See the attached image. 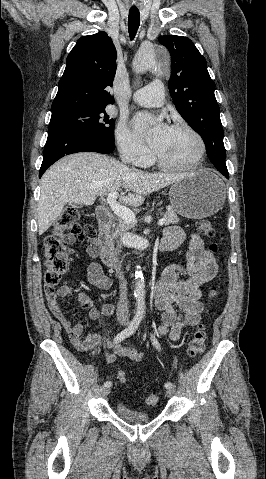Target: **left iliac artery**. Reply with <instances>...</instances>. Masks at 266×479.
I'll return each mask as SVG.
<instances>
[{
  "mask_svg": "<svg viewBox=\"0 0 266 479\" xmlns=\"http://www.w3.org/2000/svg\"><path fill=\"white\" fill-rule=\"evenodd\" d=\"M151 340L153 342V345L160 351L161 350L160 344H159L158 340L155 338V336L152 335V334H151ZM164 387L167 388V389L172 388L173 384L170 383V382H167V383H165Z\"/></svg>",
  "mask_w": 266,
  "mask_h": 479,
  "instance_id": "left-iliac-artery-1",
  "label": "left iliac artery"
}]
</instances>
